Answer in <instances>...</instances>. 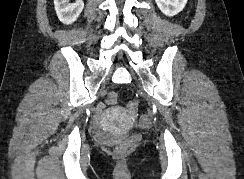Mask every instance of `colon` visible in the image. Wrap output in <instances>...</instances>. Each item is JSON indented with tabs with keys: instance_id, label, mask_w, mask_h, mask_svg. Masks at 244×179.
<instances>
[{
	"instance_id": "1",
	"label": "colon",
	"mask_w": 244,
	"mask_h": 179,
	"mask_svg": "<svg viewBox=\"0 0 244 179\" xmlns=\"http://www.w3.org/2000/svg\"><path fill=\"white\" fill-rule=\"evenodd\" d=\"M118 93H109V96H105L104 100L106 104H114L117 101ZM140 105L139 101H134L133 104H130V109H138ZM119 147L115 148V151L118 155H126L128 152L129 142H119Z\"/></svg>"
}]
</instances>
